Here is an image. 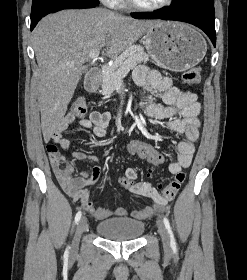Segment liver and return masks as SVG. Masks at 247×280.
<instances>
[{"label": "liver", "mask_w": 247, "mask_h": 280, "mask_svg": "<svg viewBox=\"0 0 247 280\" xmlns=\"http://www.w3.org/2000/svg\"><path fill=\"white\" fill-rule=\"evenodd\" d=\"M160 21L136 20L106 9L65 10L43 18L33 31L40 70L38 104L44 141L60 125L89 53L115 57Z\"/></svg>", "instance_id": "6515ba94"}]
</instances>
